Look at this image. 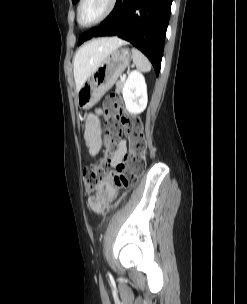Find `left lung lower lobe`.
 <instances>
[{"label": "left lung lower lobe", "mask_w": 247, "mask_h": 304, "mask_svg": "<svg viewBox=\"0 0 247 304\" xmlns=\"http://www.w3.org/2000/svg\"><path fill=\"white\" fill-rule=\"evenodd\" d=\"M172 0H117L99 27L82 34L78 45L92 37L114 36L142 51L159 75Z\"/></svg>", "instance_id": "1"}]
</instances>
